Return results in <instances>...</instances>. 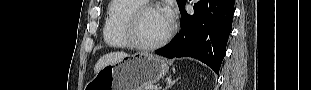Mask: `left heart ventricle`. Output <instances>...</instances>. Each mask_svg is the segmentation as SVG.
I'll return each mask as SVG.
<instances>
[{"label": "left heart ventricle", "instance_id": "obj_1", "mask_svg": "<svg viewBox=\"0 0 311 90\" xmlns=\"http://www.w3.org/2000/svg\"><path fill=\"white\" fill-rule=\"evenodd\" d=\"M170 26L162 10L146 11L139 22V38L144 43L156 42L167 33Z\"/></svg>", "mask_w": 311, "mask_h": 90}]
</instances>
